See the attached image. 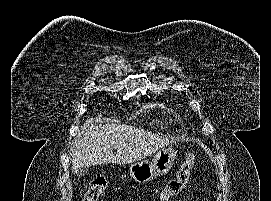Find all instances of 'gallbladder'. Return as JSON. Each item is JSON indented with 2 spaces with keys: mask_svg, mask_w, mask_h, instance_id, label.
I'll return each instance as SVG.
<instances>
[{
  "mask_svg": "<svg viewBox=\"0 0 271 201\" xmlns=\"http://www.w3.org/2000/svg\"><path fill=\"white\" fill-rule=\"evenodd\" d=\"M88 170L87 168H78V170L76 171V175L78 177H84L85 175H87Z\"/></svg>",
  "mask_w": 271,
  "mask_h": 201,
  "instance_id": "obj_1",
  "label": "gallbladder"
}]
</instances>
